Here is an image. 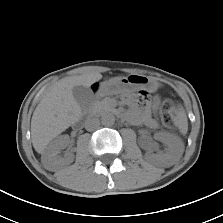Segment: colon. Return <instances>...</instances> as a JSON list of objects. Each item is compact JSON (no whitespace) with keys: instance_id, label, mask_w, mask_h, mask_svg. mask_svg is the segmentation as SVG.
Listing matches in <instances>:
<instances>
[{"instance_id":"1","label":"colon","mask_w":223,"mask_h":223,"mask_svg":"<svg viewBox=\"0 0 223 223\" xmlns=\"http://www.w3.org/2000/svg\"><path fill=\"white\" fill-rule=\"evenodd\" d=\"M174 102L171 99H166L163 104V109L165 112L164 116V124L169 127L173 128L175 125L174 119L171 116V111L173 110Z\"/></svg>"}]
</instances>
